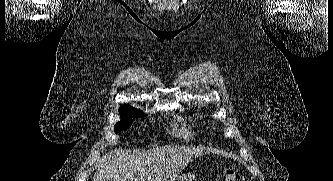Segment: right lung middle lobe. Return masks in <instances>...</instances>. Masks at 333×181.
Returning <instances> with one entry per match:
<instances>
[{"instance_id": "dd1d6c3e", "label": "right lung middle lobe", "mask_w": 333, "mask_h": 181, "mask_svg": "<svg viewBox=\"0 0 333 181\" xmlns=\"http://www.w3.org/2000/svg\"><path fill=\"white\" fill-rule=\"evenodd\" d=\"M145 114L139 110H130L120 113L121 121L114 126V132L117 134L122 130L130 128L133 118L143 117Z\"/></svg>"}]
</instances>
